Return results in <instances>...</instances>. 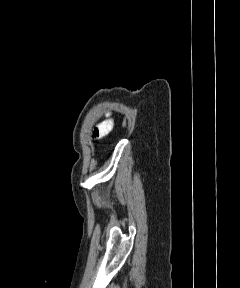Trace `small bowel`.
Listing matches in <instances>:
<instances>
[{
    "label": "small bowel",
    "instance_id": "obj_1",
    "mask_svg": "<svg viewBox=\"0 0 240 288\" xmlns=\"http://www.w3.org/2000/svg\"><path fill=\"white\" fill-rule=\"evenodd\" d=\"M113 128V120L108 118L101 122L94 130V136L101 138L107 135Z\"/></svg>",
    "mask_w": 240,
    "mask_h": 288
}]
</instances>
